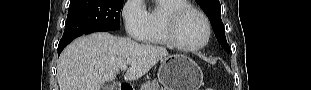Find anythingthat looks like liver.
Returning a JSON list of instances; mask_svg holds the SVG:
<instances>
[{
  "mask_svg": "<svg viewBox=\"0 0 311 90\" xmlns=\"http://www.w3.org/2000/svg\"><path fill=\"white\" fill-rule=\"evenodd\" d=\"M168 56L166 48L139 44L130 38L98 32L70 43L60 55L57 79L60 90H101L113 81L119 68L129 65L125 80L144 76L159 60Z\"/></svg>",
  "mask_w": 311,
  "mask_h": 90,
  "instance_id": "liver-1",
  "label": "liver"
}]
</instances>
